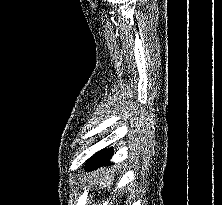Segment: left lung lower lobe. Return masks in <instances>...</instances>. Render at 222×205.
Returning a JSON list of instances; mask_svg holds the SVG:
<instances>
[{"label": "left lung lower lobe", "instance_id": "obj_1", "mask_svg": "<svg viewBox=\"0 0 222 205\" xmlns=\"http://www.w3.org/2000/svg\"><path fill=\"white\" fill-rule=\"evenodd\" d=\"M112 153H113L112 149H103L95 153L93 156H91V158L88 160L87 164L85 165V171L96 170L102 165L110 164Z\"/></svg>", "mask_w": 222, "mask_h": 205}]
</instances>
